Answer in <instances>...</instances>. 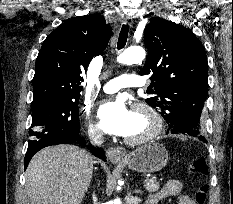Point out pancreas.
<instances>
[{
    "mask_svg": "<svg viewBox=\"0 0 233 204\" xmlns=\"http://www.w3.org/2000/svg\"><path fill=\"white\" fill-rule=\"evenodd\" d=\"M144 186L148 192H156L160 189L159 182L155 178L147 179Z\"/></svg>",
    "mask_w": 233,
    "mask_h": 204,
    "instance_id": "obj_1",
    "label": "pancreas"
}]
</instances>
